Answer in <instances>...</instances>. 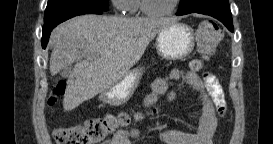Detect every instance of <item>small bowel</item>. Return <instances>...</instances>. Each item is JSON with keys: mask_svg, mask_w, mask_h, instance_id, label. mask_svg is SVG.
I'll return each instance as SVG.
<instances>
[{"mask_svg": "<svg viewBox=\"0 0 273 144\" xmlns=\"http://www.w3.org/2000/svg\"><path fill=\"white\" fill-rule=\"evenodd\" d=\"M180 78L186 80L202 97L203 109L199 127L195 132L178 129L166 130L161 133L160 139L165 144H211L219 120L226 113L223 89L217 78L211 73H204L201 76L195 73L183 75L180 70H173L167 76L156 79L152 84L151 93L144 100L145 112L149 114L150 108L157 98L166 92L169 83ZM139 135L140 132L137 129L120 130L106 143L131 144Z\"/></svg>", "mask_w": 273, "mask_h": 144, "instance_id": "small-bowel-1", "label": "small bowel"}]
</instances>
